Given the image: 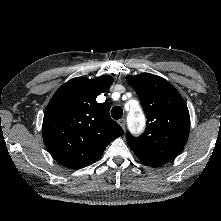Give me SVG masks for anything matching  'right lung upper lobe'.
<instances>
[{
	"instance_id": "right-lung-upper-lobe-1",
	"label": "right lung upper lobe",
	"mask_w": 221,
	"mask_h": 221,
	"mask_svg": "<svg viewBox=\"0 0 221 221\" xmlns=\"http://www.w3.org/2000/svg\"><path fill=\"white\" fill-rule=\"evenodd\" d=\"M112 83L108 75L91 80L77 77L63 84L51 98L43 119V140L63 166L77 169L94 163L108 144L123 134L110 117V105L96 102Z\"/></svg>"
}]
</instances>
